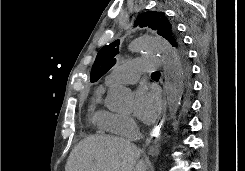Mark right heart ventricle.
<instances>
[{
	"instance_id": "obj_1",
	"label": "right heart ventricle",
	"mask_w": 245,
	"mask_h": 171,
	"mask_svg": "<svg viewBox=\"0 0 245 171\" xmlns=\"http://www.w3.org/2000/svg\"><path fill=\"white\" fill-rule=\"evenodd\" d=\"M103 90H104V87L100 86L95 91L93 103L90 107V116H91V122L93 125L97 126L99 129L108 131L106 129V125H107L108 120L114 113H112L109 110L102 109L98 106L101 100V95L103 93Z\"/></svg>"
}]
</instances>
